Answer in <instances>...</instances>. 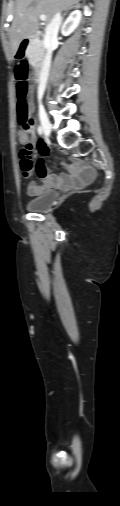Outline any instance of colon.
<instances>
[{
  "label": "colon",
  "instance_id": "colon-1",
  "mask_svg": "<svg viewBox=\"0 0 120 506\" xmlns=\"http://www.w3.org/2000/svg\"><path fill=\"white\" fill-rule=\"evenodd\" d=\"M17 53V49H15L13 51V58L19 64L15 72V77L17 79V119L22 125V129L18 134V140L23 145L20 156L23 158H30L36 137L32 132V123L30 121V106L28 101L29 84L27 83L29 71L25 63V58H19Z\"/></svg>",
  "mask_w": 120,
  "mask_h": 506
}]
</instances>
